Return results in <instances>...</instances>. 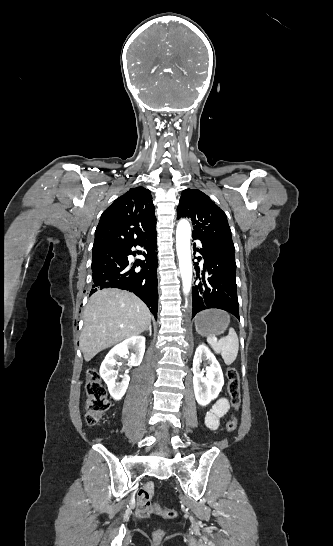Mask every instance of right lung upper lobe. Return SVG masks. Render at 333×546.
<instances>
[{
	"label": "right lung upper lobe",
	"mask_w": 333,
	"mask_h": 546,
	"mask_svg": "<svg viewBox=\"0 0 333 546\" xmlns=\"http://www.w3.org/2000/svg\"><path fill=\"white\" fill-rule=\"evenodd\" d=\"M155 207L149 190L131 188L101 215L94 245L116 239L134 240L155 231Z\"/></svg>",
	"instance_id": "cb5924a9"
}]
</instances>
